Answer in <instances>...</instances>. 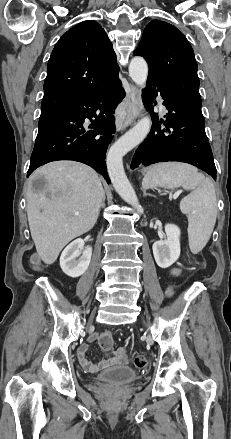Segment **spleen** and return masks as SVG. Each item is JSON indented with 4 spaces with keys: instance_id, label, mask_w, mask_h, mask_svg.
Listing matches in <instances>:
<instances>
[{
    "instance_id": "1",
    "label": "spleen",
    "mask_w": 231,
    "mask_h": 439,
    "mask_svg": "<svg viewBox=\"0 0 231 439\" xmlns=\"http://www.w3.org/2000/svg\"><path fill=\"white\" fill-rule=\"evenodd\" d=\"M156 186L191 190L181 200L180 210L188 217L190 250L197 254L210 239L216 222L217 200L212 181L186 163H161L149 169L142 181L144 189Z\"/></svg>"
}]
</instances>
